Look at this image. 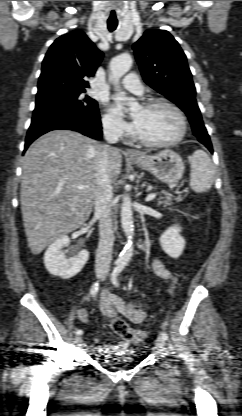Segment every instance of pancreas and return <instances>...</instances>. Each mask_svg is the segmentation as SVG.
<instances>
[{"label":"pancreas","mask_w":242,"mask_h":416,"mask_svg":"<svg viewBox=\"0 0 242 416\" xmlns=\"http://www.w3.org/2000/svg\"><path fill=\"white\" fill-rule=\"evenodd\" d=\"M164 197L163 198H159L158 199V205H164V207L166 206H171L173 204V201H177V202H181L182 201V197L181 195H178L177 197L173 196L172 194L168 193V192H163Z\"/></svg>","instance_id":"obj_1"}]
</instances>
